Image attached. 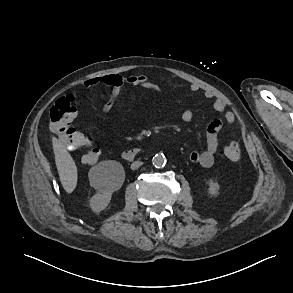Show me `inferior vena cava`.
<instances>
[{"mask_svg": "<svg viewBox=\"0 0 293 293\" xmlns=\"http://www.w3.org/2000/svg\"><path fill=\"white\" fill-rule=\"evenodd\" d=\"M143 163L141 161H135L131 164V169L132 170H136L137 168H139Z\"/></svg>", "mask_w": 293, "mask_h": 293, "instance_id": "1", "label": "inferior vena cava"}]
</instances>
